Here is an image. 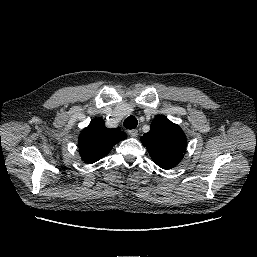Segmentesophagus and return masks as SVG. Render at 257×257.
Wrapping results in <instances>:
<instances>
[{"label":"esophagus","instance_id":"obj_1","mask_svg":"<svg viewBox=\"0 0 257 257\" xmlns=\"http://www.w3.org/2000/svg\"><path fill=\"white\" fill-rule=\"evenodd\" d=\"M128 133L131 137H137L138 136V130H136V129L129 130Z\"/></svg>","mask_w":257,"mask_h":257}]
</instances>
